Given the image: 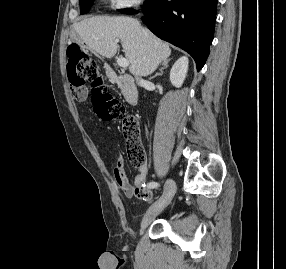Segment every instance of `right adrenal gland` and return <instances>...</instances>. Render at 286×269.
<instances>
[{
	"label": "right adrenal gland",
	"mask_w": 286,
	"mask_h": 269,
	"mask_svg": "<svg viewBox=\"0 0 286 269\" xmlns=\"http://www.w3.org/2000/svg\"><path fill=\"white\" fill-rule=\"evenodd\" d=\"M169 61H170V59L163 61L162 67L159 69L160 73H156L153 77L160 75L162 73V71L168 67ZM153 77H151V78H153Z\"/></svg>",
	"instance_id": "right-adrenal-gland-1"
}]
</instances>
